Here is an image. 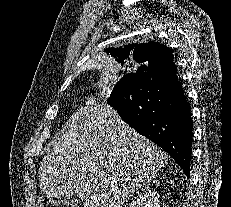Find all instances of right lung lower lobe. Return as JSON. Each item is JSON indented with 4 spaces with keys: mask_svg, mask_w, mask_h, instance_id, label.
Listing matches in <instances>:
<instances>
[{
    "mask_svg": "<svg viewBox=\"0 0 231 207\" xmlns=\"http://www.w3.org/2000/svg\"><path fill=\"white\" fill-rule=\"evenodd\" d=\"M176 71L175 66L140 67L117 83L108 104L127 124L168 152L189 177L193 125Z\"/></svg>",
    "mask_w": 231,
    "mask_h": 207,
    "instance_id": "98d812e1",
    "label": "right lung lower lobe"
}]
</instances>
